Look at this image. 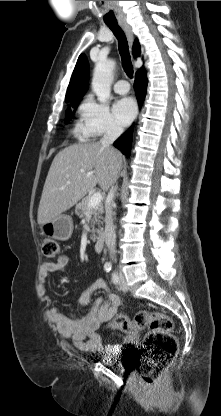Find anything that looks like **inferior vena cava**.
<instances>
[{"label":"inferior vena cava","instance_id":"602c4592","mask_svg":"<svg viewBox=\"0 0 221 416\" xmlns=\"http://www.w3.org/2000/svg\"><path fill=\"white\" fill-rule=\"evenodd\" d=\"M123 129L115 124L111 123L107 127V130L104 136L101 138V145L110 150L112 153L115 152V149L112 147L114 141L122 134ZM115 188L112 187L107 196V202L105 205V243L110 252V257L114 259L115 248H116V233L113 224V198H114Z\"/></svg>","mask_w":221,"mask_h":416}]
</instances>
